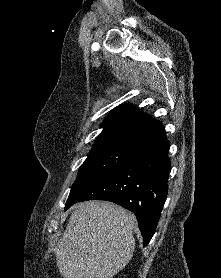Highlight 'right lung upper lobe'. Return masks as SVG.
I'll return each instance as SVG.
<instances>
[{
  "label": "right lung upper lobe",
  "instance_id": "cb5924a9",
  "mask_svg": "<svg viewBox=\"0 0 221 278\" xmlns=\"http://www.w3.org/2000/svg\"><path fill=\"white\" fill-rule=\"evenodd\" d=\"M104 130L96 142L117 141L133 147L147 146L166 139L163 126L131 104L115 108L104 120Z\"/></svg>",
  "mask_w": 221,
  "mask_h": 278
}]
</instances>
